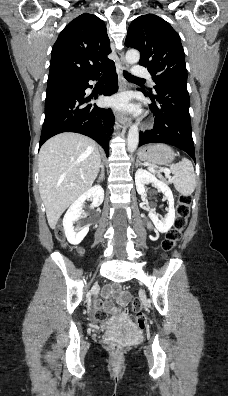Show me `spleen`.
I'll list each match as a JSON object with an SVG mask.
<instances>
[{"label":"spleen","mask_w":228,"mask_h":396,"mask_svg":"<svg viewBox=\"0 0 228 396\" xmlns=\"http://www.w3.org/2000/svg\"><path fill=\"white\" fill-rule=\"evenodd\" d=\"M173 184L183 196H190L196 187L194 168L190 160L182 158L181 162L170 166Z\"/></svg>","instance_id":"obj_1"}]
</instances>
